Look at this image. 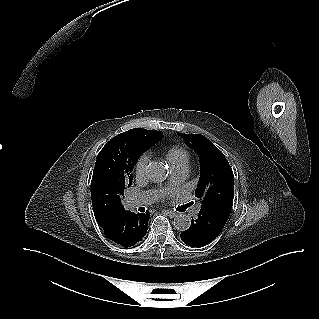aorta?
Masks as SVG:
<instances>
[{
  "instance_id": "obj_1",
  "label": "aorta",
  "mask_w": 319,
  "mask_h": 319,
  "mask_svg": "<svg viewBox=\"0 0 319 319\" xmlns=\"http://www.w3.org/2000/svg\"><path fill=\"white\" fill-rule=\"evenodd\" d=\"M146 174L153 182H162L167 177V167L163 162L152 161L146 166ZM173 225L180 231H185L191 226V219L186 214H178L175 216Z\"/></svg>"
}]
</instances>
